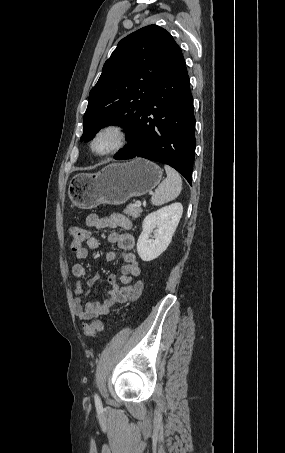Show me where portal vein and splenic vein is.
<instances>
[{"label": "portal vein and splenic vein", "instance_id": "1", "mask_svg": "<svg viewBox=\"0 0 285 453\" xmlns=\"http://www.w3.org/2000/svg\"><path fill=\"white\" fill-rule=\"evenodd\" d=\"M135 206H136V207H140V206H141V202H140V201H137V202L135 203Z\"/></svg>", "mask_w": 285, "mask_h": 453}]
</instances>
